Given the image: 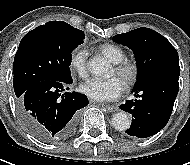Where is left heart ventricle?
I'll return each instance as SVG.
<instances>
[{"label":"left heart ventricle","instance_id":"obj_1","mask_svg":"<svg viewBox=\"0 0 190 165\" xmlns=\"http://www.w3.org/2000/svg\"><path fill=\"white\" fill-rule=\"evenodd\" d=\"M112 75H116L115 69L112 71ZM120 78V77H119ZM121 79V78H120Z\"/></svg>","mask_w":190,"mask_h":165}]
</instances>
